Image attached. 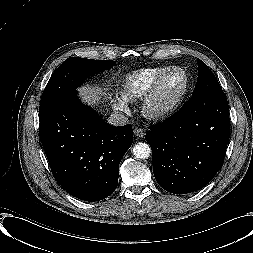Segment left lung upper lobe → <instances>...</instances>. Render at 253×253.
Wrapping results in <instances>:
<instances>
[{"mask_svg": "<svg viewBox=\"0 0 253 253\" xmlns=\"http://www.w3.org/2000/svg\"><path fill=\"white\" fill-rule=\"evenodd\" d=\"M197 63L199 74L191 99H197L201 104H204L222 94L223 91L209 67L200 59H197Z\"/></svg>", "mask_w": 253, "mask_h": 253, "instance_id": "5c2ea615", "label": "left lung upper lobe"}]
</instances>
